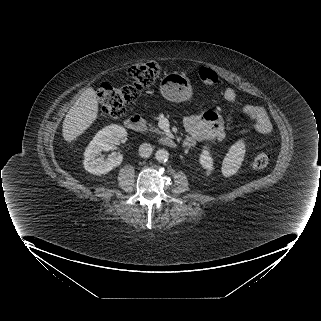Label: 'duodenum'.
<instances>
[{"mask_svg": "<svg viewBox=\"0 0 321 321\" xmlns=\"http://www.w3.org/2000/svg\"><path fill=\"white\" fill-rule=\"evenodd\" d=\"M126 128L135 132H144L146 130V124L141 116L131 115L124 122ZM160 143L166 147L174 148L176 147V141L168 136H163L160 138Z\"/></svg>", "mask_w": 321, "mask_h": 321, "instance_id": "obj_1", "label": "duodenum"}]
</instances>
